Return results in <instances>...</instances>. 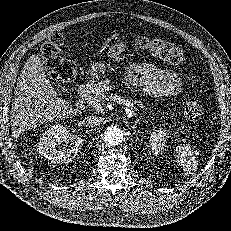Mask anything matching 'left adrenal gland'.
<instances>
[{"instance_id": "a2214340", "label": "left adrenal gland", "mask_w": 231, "mask_h": 231, "mask_svg": "<svg viewBox=\"0 0 231 231\" xmlns=\"http://www.w3.org/2000/svg\"><path fill=\"white\" fill-rule=\"evenodd\" d=\"M140 120H141V117H140L139 119L135 120L134 125H133V126H131V127L129 126V128H130V129L132 128L133 130H134V129H136V127H137V123H138Z\"/></svg>"}]
</instances>
